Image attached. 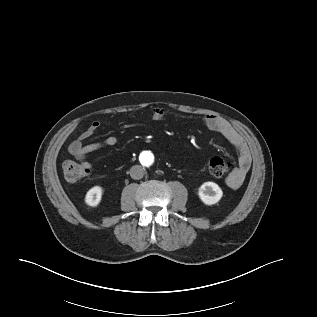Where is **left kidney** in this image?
Instances as JSON below:
<instances>
[{
	"mask_svg": "<svg viewBox=\"0 0 317 317\" xmlns=\"http://www.w3.org/2000/svg\"><path fill=\"white\" fill-rule=\"evenodd\" d=\"M199 198L206 205H213L221 199L223 192L214 182H205L199 187Z\"/></svg>",
	"mask_w": 317,
	"mask_h": 317,
	"instance_id": "5707ae66",
	"label": "left kidney"
}]
</instances>
